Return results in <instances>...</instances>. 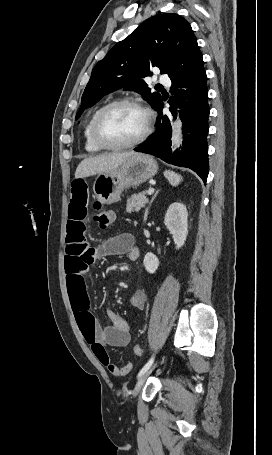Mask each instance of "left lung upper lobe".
I'll list each match as a JSON object with an SVG mask.
<instances>
[{
	"mask_svg": "<svg viewBox=\"0 0 272 455\" xmlns=\"http://www.w3.org/2000/svg\"><path fill=\"white\" fill-rule=\"evenodd\" d=\"M196 37L190 24L178 14H159L143 22L118 42L94 67L76 115L117 89L133 90L156 108L162 97L151 92L142 79L156 66L172 76L199 58Z\"/></svg>",
	"mask_w": 272,
	"mask_h": 455,
	"instance_id": "obj_1",
	"label": "left lung upper lobe"
}]
</instances>
